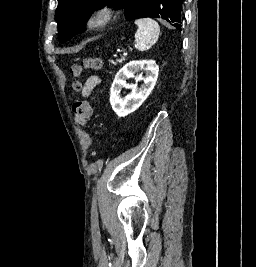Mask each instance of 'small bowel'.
<instances>
[{
  "label": "small bowel",
  "instance_id": "small-bowel-1",
  "mask_svg": "<svg viewBox=\"0 0 256 267\" xmlns=\"http://www.w3.org/2000/svg\"><path fill=\"white\" fill-rule=\"evenodd\" d=\"M99 83H100L99 76L97 75L89 76L82 87V90H81L82 95L84 97L90 96L92 92L94 91V89L99 85ZM95 133L97 134L98 132L95 131Z\"/></svg>",
  "mask_w": 256,
  "mask_h": 267
}]
</instances>
